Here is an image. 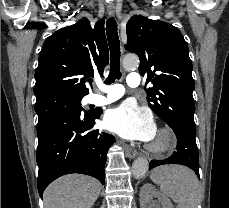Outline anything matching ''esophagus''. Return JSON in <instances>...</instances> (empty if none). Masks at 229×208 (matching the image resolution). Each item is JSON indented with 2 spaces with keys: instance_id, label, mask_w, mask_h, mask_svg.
I'll return each instance as SVG.
<instances>
[{
  "instance_id": "esophagus-1",
  "label": "esophagus",
  "mask_w": 229,
  "mask_h": 208,
  "mask_svg": "<svg viewBox=\"0 0 229 208\" xmlns=\"http://www.w3.org/2000/svg\"><path fill=\"white\" fill-rule=\"evenodd\" d=\"M107 10H108V13H109V15L111 16V17H113L114 15H115V8L112 6H109L108 8H107ZM124 148H125V150H126V155L129 157V158H131V159H133V158H135L136 156H137V152H136V150H134L133 148H131V146H129L127 143H124Z\"/></svg>"
}]
</instances>
